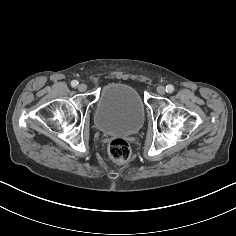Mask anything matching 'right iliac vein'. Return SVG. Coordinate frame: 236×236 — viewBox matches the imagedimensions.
<instances>
[{
  "instance_id": "obj_1",
  "label": "right iliac vein",
  "mask_w": 236,
  "mask_h": 236,
  "mask_svg": "<svg viewBox=\"0 0 236 236\" xmlns=\"http://www.w3.org/2000/svg\"><path fill=\"white\" fill-rule=\"evenodd\" d=\"M78 90H79L80 92L86 91V90H87V85L84 84V83L79 84V85H78Z\"/></svg>"
}]
</instances>
